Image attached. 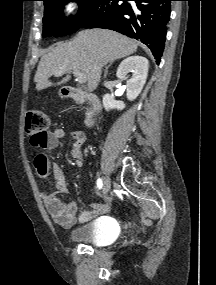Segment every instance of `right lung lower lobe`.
<instances>
[{"label":"right lung lower lobe","mask_w":216,"mask_h":285,"mask_svg":"<svg viewBox=\"0 0 216 285\" xmlns=\"http://www.w3.org/2000/svg\"><path fill=\"white\" fill-rule=\"evenodd\" d=\"M171 1L173 0H103L80 28H106L140 40L148 46L159 64Z\"/></svg>","instance_id":"obj_1"}]
</instances>
